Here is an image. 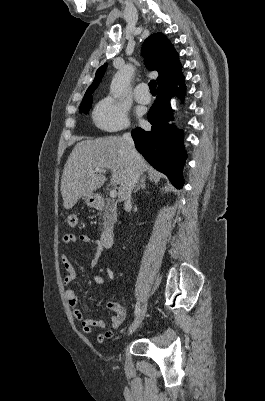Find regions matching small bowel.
<instances>
[{
  "mask_svg": "<svg viewBox=\"0 0 265 401\" xmlns=\"http://www.w3.org/2000/svg\"><path fill=\"white\" fill-rule=\"evenodd\" d=\"M77 240L94 246L95 255L94 258L90 261L89 266L92 268L95 267L99 262L101 255L103 253L104 250L103 245L99 240H95L86 234H81L78 237L75 234H66L63 237V243L65 244L75 243ZM61 263L65 270V274L63 276V284L69 285L75 280L77 276L75 267L66 254H63L61 256ZM93 280L96 284L99 285L105 284V279L100 275H95L93 277ZM65 297L68 301V304L72 308L74 318L80 324L84 334L90 335L95 328L99 329L105 328L106 324L102 319H91V318H86L84 316L83 312L78 308V295L76 291H74L73 289H67L65 291ZM111 307L115 312L111 316V324L113 330H108L103 333H100L97 336V340L99 343H103L107 340L112 339L114 336V330H117L120 327V325L122 324V322L126 317V312L123 307L117 304L112 305Z\"/></svg>",
  "mask_w": 265,
  "mask_h": 401,
  "instance_id": "c3829d8e",
  "label": "small bowel"
}]
</instances>
